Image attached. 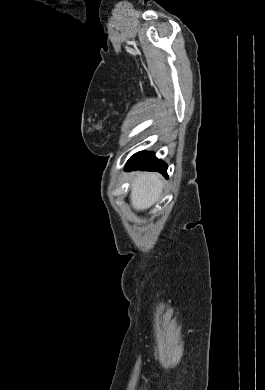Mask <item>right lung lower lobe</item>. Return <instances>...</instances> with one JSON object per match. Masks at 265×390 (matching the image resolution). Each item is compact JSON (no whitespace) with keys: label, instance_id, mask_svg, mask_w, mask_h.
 <instances>
[{"label":"right lung lower lobe","instance_id":"right-lung-lower-lobe-1","mask_svg":"<svg viewBox=\"0 0 265 390\" xmlns=\"http://www.w3.org/2000/svg\"><path fill=\"white\" fill-rule=\"evenodd\" d=\"M158 171L167 177V165L157 159L153 152H138L126 164V170Z\"/></svg>","mask_w":265,"mask_h":390}]
</instances>
